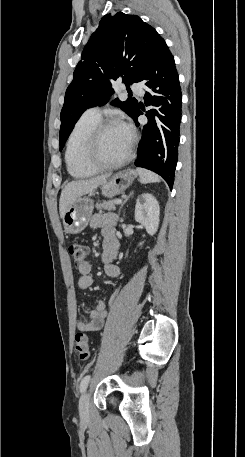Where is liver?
Segmentation results:
<instances>
[{
    "label": "liver",
    "mask_w": 245,
    "mask_h": 457,
    "mask_svg": "<svg viewBox=\"0 0 245 457\" xmlns=\"http://www.w3.org/2000/svg\"><path fill=\"white\" fill-rule=\"evenodd\" d=\"M108 176H111V172L95 176V178H89V180H72V182H68L60 196L59 210L61 218H63L67 208H69L70 204H73L76 198H80L87 192H93L99 184H103L107 180Z\"/></svg>",
    "instance_id": "liver-1"
}]
</instances>
